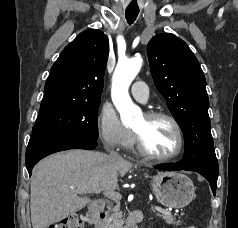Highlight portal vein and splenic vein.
<instances>
[{"label": "portal vein and splenic vein", "instance_id": "obj_1", "mask_svg": "<svg viewBox=\"0 0 238 228\" xmlns=\"http://www.w3.org/2000/svg\"><path fill=\"white\" fill-rule=\"evenodd\" d=\"M101 190L100 189H94L92 191V193H100ZM103 194L108 197L109 199H113V200H119L121 199V195L120 193H117V192H110V191H106V192H103ZM156 211H158L159 213H162V214H165V215H171V212L170 211H167L165 209H162L160 207H153Z\"/></svg>", "mask_w": 238, "mask_h": 228}]
</instances>
